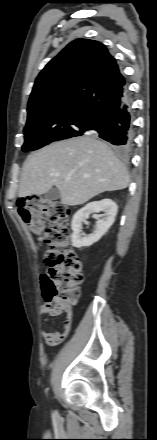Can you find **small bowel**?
<instances>
[{"instance_id": "small-bowel-1", "label": "small bowel", "mask_w": 157, "mask_h": 440, "mask_svg": "<svg viewBox=\"0 0 157 440\" xmlns=\"http://www.w3.org/2000/svg\"><path fill=\"white\" fill-rule=\"evenodd\" d=\"M40 311L47 316L46 321H48L49 317L54 316L51 307L48 303L42 304L40 307ZM70 328H71V319L68 321H64L63 330L61 332L54 330H47L43 333V337L49 345H58L67 337Z\"/></svg>"}]
</instances>
